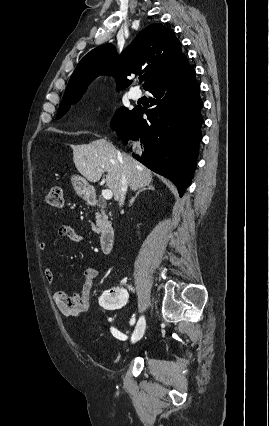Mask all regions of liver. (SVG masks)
I'll use <instances>...</instances> for the list:
<instances>
[{
    "instance_id": "6515ba94",
    "label": "liver",
    "mask_w": 269,
    "mask_h": 426,
    "mask_svg": "<svg viewBox=\"0 0 269 426\" xmlns=\"http://www.w3.org/2000/svg\"><path fill=\"white\" fill-rule=\"evenodd\" d=\"M73 161L79 173L90 182H97L106 171V185L119 199L121 178L124 173L132 190L144 188L153 181L152 172L128 154L120 153L106 139L73 146Z\"/></svg>"
}]
</instances>
